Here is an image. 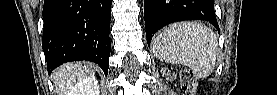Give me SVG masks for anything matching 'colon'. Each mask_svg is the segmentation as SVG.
<instances>
[{
    "label": "colon",
    "mask_w": 277,
    "mask_h": 95,
    "mask_svg": "<svg viewBox=\"0 0 277 95\" xmlns=\"http://www.w3.org/2000/svg\"><path fill=\"white\" fill-rule=\"evenodd\" d=\"M180 82L185 94H195L197 85L196 76L189 68H184L181 71Z\"/></svg>",
    "instance_id": "5ec220e1"
}]
</instances>
